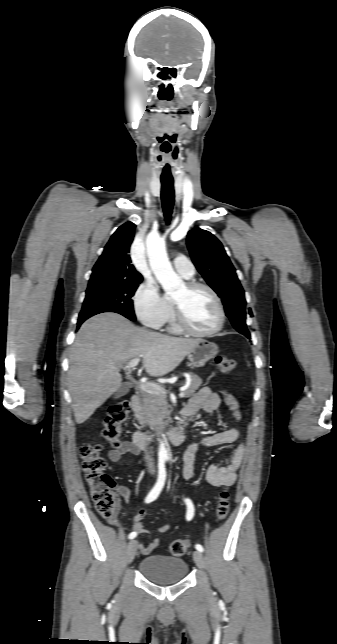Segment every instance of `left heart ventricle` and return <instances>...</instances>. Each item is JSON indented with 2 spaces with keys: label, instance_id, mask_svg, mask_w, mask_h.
<instances>
[{
  "label": "left heart ventricle",
  "instance_id": "obj_1",
  "mask_svg": "<svg viewBox=\"0 0 337 644\" xmlns=\"http://www.w3.org/2000/svg\"><path fill=\"white\" fill-rule=\"evenodd\" d=\"M173 301L182 306L189 326L198 332L214 328L218 322V308L211 294L202 288L187 291L183 286L173 297Z\"/></svg>",
  "mask_w": 337,
  "mask_h": 644
}]
</instances>
